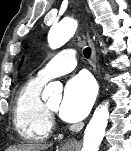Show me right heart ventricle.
Here are the masks:
<instances>
[{
  "label": "right heart ventricle",
  "mask_w": 131,
  "mask_h": 151,
  "mask_svg": "<svg viewBox=\"0 0 131 151\" xmlns=\"http://www.w3.org/2000/svg\"><path fill=\"white\" fill-rule=\"evenodd\" d=\"M44 83L38 77L30 79L20 88L15 99L13 122L25 141H44L52 132V119L41 99Z\"/></svg>",
  "instance_id": "e07e8e85"
}]
</instances>
